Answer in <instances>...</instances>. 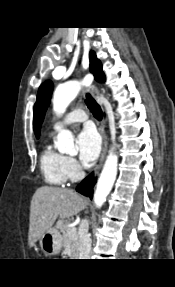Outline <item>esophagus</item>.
Listing matches in <instances>:
<instances>
[{
	"label": "esophagus",
	"mask_w": 175,
	"mask_h": 287,
	"mask_svg": "<svg viewBox=\"0 0 175 287\" xmlns=\"http://www.w3.org/2000/svg\"><path fill=\"white\" fill-rule=\"evenodd\" d=\"M90 88H91V93H92L93 97L98 98L99 97L98 87L95 84H93V85H91ZM106 122H107L106 117H104L102 124L100 126V132H101L102 139H103L102 149H101L99 161L97 162L95 169H94L95 175L99 172L100 168L102 167V164L105 160L106 153H107L108 137H107L106 132H105Z\"/></svg>",
	"instance_id": "1"
}]
</instances>
